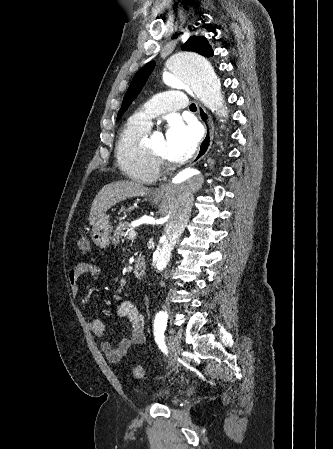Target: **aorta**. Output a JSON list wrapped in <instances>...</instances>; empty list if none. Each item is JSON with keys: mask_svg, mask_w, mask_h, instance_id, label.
<instances>
[{"mask_svg": "<svg viewBox=\"0 0 333 449\" xmlns=\"http://www.w3.org/2000/svg\"><path fill=\"white\" fill-rule=\"evenodd\" d=\"M163 80L171 87L189 90L208 108L224 114L220 80L204 56L188 51L172 54L165 61ZM213 173V166L202 165L185 169L170 182L166 191L169 219L153 254V264L158 271L169 264L172 250L190 218L194 195L203 190Z\"/></svg>", "mask_w": 333, "mask_h": 449, "instance_id": "1", "label": "aorta"}]
</instances>
